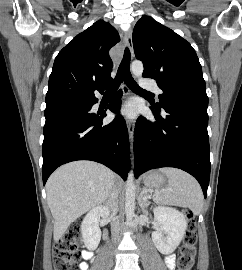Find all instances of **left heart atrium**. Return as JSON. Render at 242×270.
Masks as SVG:
<instances>
[{
  "mask_svg": "<svg viewBox=\"0 0 242 270\" xmlns=\"http://www.w3.org/2000/svg\"><path fill=\"white\" fill-rule=\"evenodd\" d=\"M137 111H138L137 104L131 101V102L126 103L122 107L120 113L126 117L133 118L136 116Z\"/></svg>",
  "mask_w": 242,
  "mask_h": 270,
  "instance_id": "1",
  "label": "left heart atrium"
}]
</instances>
